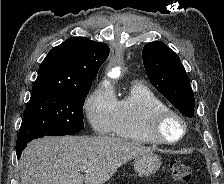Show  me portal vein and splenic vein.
Here are the masks:
<instances>
[{
	"mask_svg": "<svg viewBox=\"0 0 224 184\" xmlns=\"http://www.w3.org/2000/svg\"><path fill=\"white\" fill-rule=\"evenodd\" d=\"M81 171H82V172H87L86 167H82V168H81Z\"/></svg>",
	"mask_w": 224,
	"mask_h": 184,
	"instance_id": "portal-vein-and-splenic-vein-1",
	"label": "portal vein and splenic vein"
}]
</instances>
